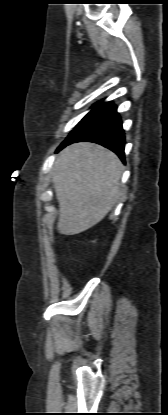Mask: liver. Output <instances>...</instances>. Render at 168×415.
<instances>
[{"label": "liver", "instance_id": "obj_1", "mask_svg": "<svg viewBox=\"0 0 168 415\" xmlns=\"http://www.w3.org/2000/svg\"><path fill=\"white\" fill-rule=\"evenodd\" d=\"M54 169L59 233L88 230L117 202L123 164L112 151L94 143L72 144L59 153Z\"/></svg>", "mask_w": 168, "mask_h": 415}]
</instances>
